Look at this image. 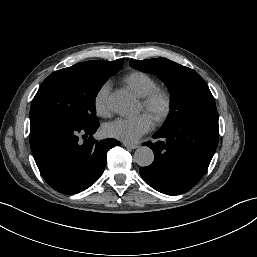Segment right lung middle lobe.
<instances>
[{
	"label": "right lung middle lobe",
	"instance_id": "right-lung-middle-lobe-1",
	"mask_svg": "<svg viewBox=\"0 0 257 257\" xmlns=\"http://www.w3.org/2000/svg\"><path fill=\"white\" fill-rule=\"evenodd\" d=\"M117 71H100L81 62L53 72L43 81L32 101L30 120L51 119L77 127L98 123L94 99Z\"/></svg>",
	"mask_w": 257,
	"mask_h": 257
}]
</instances>
